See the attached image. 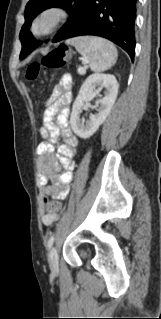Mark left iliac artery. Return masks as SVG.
<instances>
[{"instance_id":"1","label":"left iliac artery","mask_w":161,"mask_h":319,"mask_svg":"<svg viewBox=\"0 0 161 319\" xmlns=\"http://www.w3.org/2000/svg\"><path fill=\"white\" fill-rule=\"evenodd\" d=\"M54 235H52L50 238H49V240H48V244H47V246H48V248H50L51 246H52V244H53V242H54Z\"/></svg>"}]
</instances>
